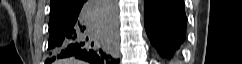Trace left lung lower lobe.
<instances>
[{"instance_id": "0a47b994", "label": "left lung lower lobe", "mask_w": 242, "mask_h": 64, "mask_svg": "<svg viewBox=\"0 0 242 64\" xmlns=\"http://www.w3.org/2000/svg\"><path fill=\"white\" fill-rule=\"evenodd\" d=\"M146 33L163 59L171 60L186 39L183 0H145Z\"/></svg>"}]
</instances>
